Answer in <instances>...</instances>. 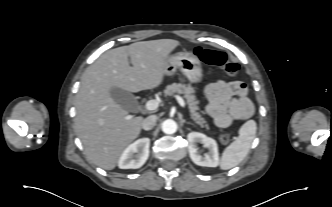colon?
Segmentation results:
<instances>
[{
  "label": "colon",
  "mask_w": 332,
  "mask_h": 207,
  "mask_svg": "<svg viewBox=\"0 0 332 207\" xmlns=\"http://www.w3.org/2000/svg\"><path fill=\"white\" fill-rule=\"evenodd\" d=\"M195 53L204 63L221 68L230 77H235L240 70L239 65L231 62L224 52L197 47ZM219 139L223 144L230 140L227 134L220 135Z\"/></svg>",
  "instance_id": "obj_1"
}]
</instances>
